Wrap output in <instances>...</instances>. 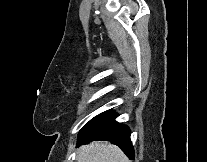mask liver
I'll use <instances>...</instances> for the list:
<instances>
[{
	"instance_id": "liver-1",
	"label": "liver",
	"mask_w": 207,
	"mask_h": 162,
	"mask_svg": "<svg viewBox=\"0 0 207 162\" xmlns=\"http://www.w3.org/2000/svg\"><path fill=\"white\" fill-rule=\"evenodd\" d=\"M77 162H130L122 150L106 141H94L78 149Z\"/></svg>"
}]
</instances>
